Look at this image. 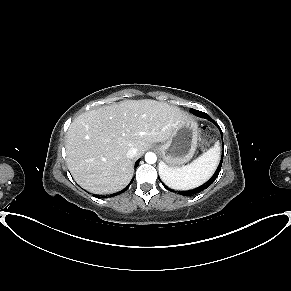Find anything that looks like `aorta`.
Instances as JSON below:
<instances>
[{
	"instance_id": "aorta-1",
	"label": "aorta",
	"mask_w": 291,
	"mask_h": 291,
	"mask_svg": "<svg viewBox=\"0 0 291 291\" xmlns=\"http://www.w3.org/2000/svg\"><path fill=\"white\" fill-rule=\"evenodd\" d=\"M156 160H157V156H156L155 153H153V152H147V153L145 154V161H146L147 163H149V164H153V163L156 162Z\"/></svg>"
}]
</instances>
